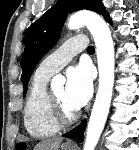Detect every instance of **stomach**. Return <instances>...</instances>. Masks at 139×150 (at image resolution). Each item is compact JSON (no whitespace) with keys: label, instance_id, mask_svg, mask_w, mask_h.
I'll use <instances>...</instances> for the list:
<instances>
[{"label":"stomach","instance_id":"obj_1","mask_svg":"<svg viewBox=\"0 0 139 150\" xmlns=\"http://www.w3.org/2000/svg\"><path fill=\"white\" fill-rule=\"evenodd\" d=\"M61 150H74V149L63 145L61 146Z\"/></svg>","mask_w":139,"mask_h":150}]
</instances>
